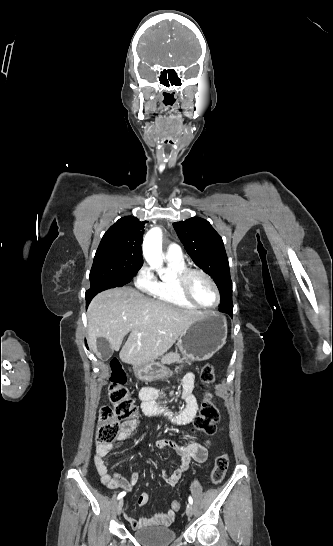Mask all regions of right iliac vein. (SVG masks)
Segmentation results:
<instances>
[{"label": "right iliac vein", "instance_id": "1", "mask_svg": "<svg viewBox=\"0 0 333 546\" xmlns=\"http://www.w3.org/2000/svg\"><path fill=\"white\" fill-rule=\"evenodd\" d=\"M123 504H124L123 499L119 500V502L117 503L116 511L118 515L121 514L122 512Z\"/></svg>", "mask_w": 333, "mask_h": 546}]
</instances>
